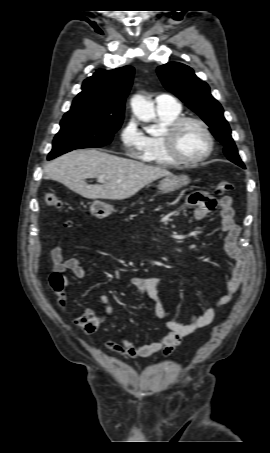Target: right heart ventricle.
<instances>
[{
  "instance_id": "obj_1",
  "label": "right heart ventricle",
  "mask_w": 270,
  "mask_h": 453,
  "mask_svg": "<svg viewBox=\"0 0 270 453\" xmlns=\"http://www.w3.org/2000/svg\"><path fill=\"white\" fill-rule=\"evenodd\" d=\"M181 109L171 112H158L159 122L163 128L168 126L173 120L180 117ZM139 159L144 163L173 166L176 165L165 153L161 142V135H149L146 139V145Z\"/></svg>"
}]
</instances>
